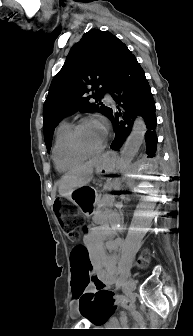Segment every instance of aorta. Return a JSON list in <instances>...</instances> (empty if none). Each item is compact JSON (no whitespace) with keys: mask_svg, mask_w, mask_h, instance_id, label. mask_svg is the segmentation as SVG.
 Masks as SVG:
<instances>
[{"mask_svg":"<svg viewBox=\"0 0 193 336\" xmlns=\"http://www.w3.org/2000/svg\"><path fill=\"white\" fill-rule=\"evenodd\" d=\"M146 133V125L144 120L141 117H137L132 131L128 138L126 139L122 150H121V160L120 168H126L129 163L132 161L136 153L138 152L141 144L143 143Z\"/></svg>","mask_w":193,"mask_h":336,"instance_id":"762f6f07","label":"aorta"}]
</instances>
